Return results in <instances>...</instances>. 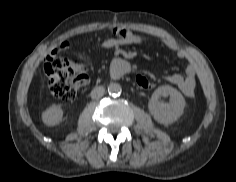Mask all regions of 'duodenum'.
Instances as JSON below:
<instances>
[{
    "label": "duodenum",
    "mask_w": 236,
    "mask_h": 182,
    "mask_svg": "<svg viewBox=\"0 0 236 182\" xmlns=\"http://www.w3.org/2000/svg\"><path fill=\"white\" fill-rule=\"evenodd\" d=\"M128 73V63L124 60H117L113 63L110 76L112 78H121Z\"/></svg>",
    "instance_id": "1"
}]
</instances>
